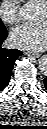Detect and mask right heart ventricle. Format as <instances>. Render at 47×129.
I'll list each match as a JSON object with an SVG mask.
<instances>
[{
  "instance_id": "obj_1",
  "label": "right heart ventricle",
  "mask_w": 47,
  "mask_h": 129,
  "mask_svg": "<svg viewBox=\"0 0 47 129\" xmlns=\"http://www.w3.org/2000/svg\"><path fill=\"white\" fill-rule=\"evenodd\" d=\"M30 1H33V2H44L45 0H30Z\"/></svg>"
}]
</instances>
